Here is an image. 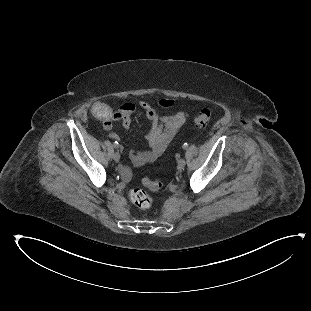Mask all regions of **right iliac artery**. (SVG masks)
<instances>
[{
  "mask_svg": "<svg viewBox=\"0 0 311 311\" xmlns=\"http://www.w3.org/2000/svg\"><path fill=\"white\" fill-rule=\"evenodd\" d=\"M113 146H114V148H118V147H119V143H118L117 141H115V142L113 143Z\"/></svg>",
  "mask_w": 311,
  "mask_h": 311,
  "instance_id": "82829eb1",
  "label": "right iliac artery"
}]
</instances>
